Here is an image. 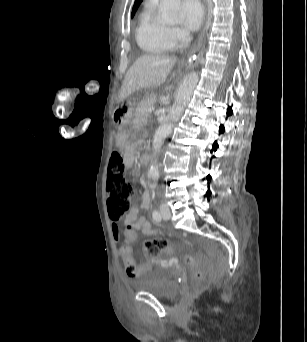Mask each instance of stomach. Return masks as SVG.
<instances>
[{"label": "stomach", "mask_w": 307, "mask_h": 342, "mask_svg": "<svg viewBox=\"0 0 307 342\" xmlns=\"http://www.w3.org/2000/svg\"><path fill=\"white\" fill-rule=\"evenodd\" d=\"M134 115V106L129 103L126 106H120L114 111V122L119 126H126L132 120Z\"/></svg>", "instance_id": "1"}]
</instances>
